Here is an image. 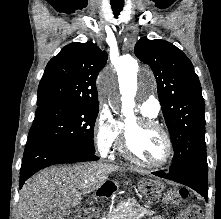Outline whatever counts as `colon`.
I'll return each instance as SVG.
<instances>
[{"instance_id":"colon-1","label":"colon","mask_w":221,"mask_h":219,"mask_svg":"<svg viewBox=\"0 0 221 219\" xmlns=\"http://www.w3.org/2000/svg\"><path fill=\"white\" fill-rule=\"evenodd\" d=\"M178 195L184 198L188 193L186 190H179ZM60 219H85V215L80 210H71L61 215ZM179 219H202L201 210L198 206H189L182 211Z\"/></svg>"}]
</instances>
